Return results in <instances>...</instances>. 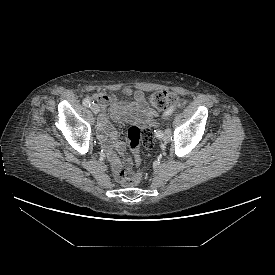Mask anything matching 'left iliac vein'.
I'll list each match as a JSON object with an SVG mask.
<instances>
[{
  "instance_id": "4c4485c4",
  "label": "left iliac vein",
  "mask_w": 275,
  "mask_h": 275,
  "mask_svg": "<svg viewBox=\"0 0 275 275\" xmlns=\"http://www.w3.org/2000/svg\"><path fill=\"white\" fill-rule=\"evenodd\" d=\"M170 137H171V130L169 128H167L165 130V133H164L162 139H163V141L168 142L170 140Z\"/></svg>"
}]
</instances>
